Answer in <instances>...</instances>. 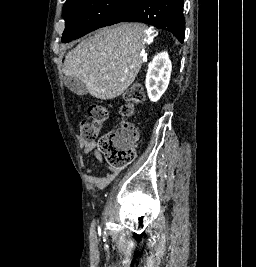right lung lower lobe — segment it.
I'll use <instances>...</instances> for the list:
<instances>
[{"label":"right lung lower lobe","mask_w":256,"mask_h":267,"mask_svg":"<svg viewBox=\"0 0 256 267\" xmlns=\"http://www.w3.org/2000/svg\"><path fill=\"white\" fill-rule=\"evenodd\" d=\"M184 0H138L128 13L122 15L107 26L119 22H143L171 32L183 43L185 18Z\"/></svg>","instance_id":"98d812e1"}]
</instances>
